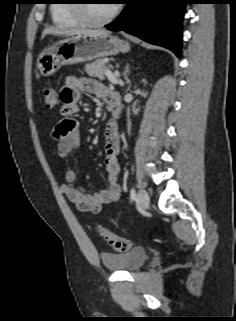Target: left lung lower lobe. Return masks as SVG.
<instances>
[{
  "mask_svg": "<svg viewBox=\"0 0 236 321\" xmlns=\"http://www.w3.org/2000/svg\"><path fill=\"white\" fill-rule=\"evenodd\" d=\"M121 15L105 27L164 46L180 57L185 0H126Z\"/></svg>",
  "mask_w": 236,
  "mask_h": 321,
  "instance_id": "1",
  "label": "left lung lower lobe"
}]
</instances>
